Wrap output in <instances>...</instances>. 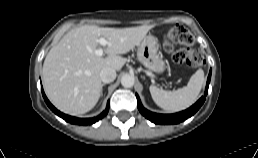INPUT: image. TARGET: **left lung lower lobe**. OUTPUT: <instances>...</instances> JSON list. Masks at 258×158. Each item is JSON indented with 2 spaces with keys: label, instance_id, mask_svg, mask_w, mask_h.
Here are the masks:
<instances>
[{
  "label": "left lung lower lobe",
  "instance_id": "left-lung-lower-lobe-1",
  "mask_svg": "<svg viewBox=\"0 0 258 158\" xmlns=\"http://www.w3.org/2000/svg\"><path fill=\"white\" fill-rule=\"evenodd\" d=\"M210 79H211V69H210L209 76H208V79H207L204 96H202L193 106H191L187 110H184L182 112H178V113H175V114L153 113L151 111H148L147 109H145L142 106L140 98L136 94L137 102H138V109L143 116H145L148 120H150L151 122H153L155 124H164V125L178 124V123L190 118L191 116H193L199 110V108L202 106V104L205 101V96L208 93V87H209Z\"/></svg>",
  "mask_w": 258,
  "mask_h": 158
}]
</instances>
